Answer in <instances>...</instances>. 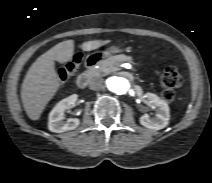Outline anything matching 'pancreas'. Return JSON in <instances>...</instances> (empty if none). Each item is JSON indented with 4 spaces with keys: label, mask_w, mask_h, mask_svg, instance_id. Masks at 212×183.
I'll list each match as a JSON object with an SVG mask.
<instances>
[{
    "label": "pancreas",
    "mask_w": 212,
    "mask_h": 183,
    "mask_svg": "<svg viewBox=\"0 0 212 183\" xmlns=\"http://www.w3.org/2000/svg\"><path fill=\"white\" fill-rule=\"evenodd\" d=\"M123 62H133V58L131 56H127L124 54L110 56L103 61H101L98 65V68H94L92 71L95 75H104L114 73L119 70V66Z\"/></svg>",
    "instance_id": "cf45deb5"
}]
</instances>
